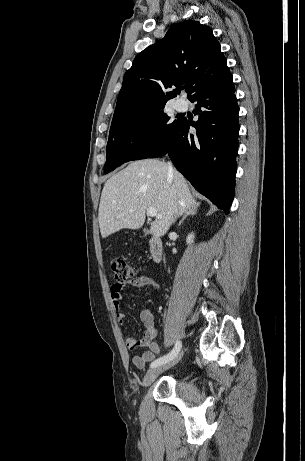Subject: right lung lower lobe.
Listing matches in <instances>:
<instances>
[{
  "label": "right lung lower lobe",
  "instance_id": "right-lung-lower-lobe-1",
  "mask_svg": "<svg viewBox=\"0 0 305 461\" xmlns=\"http://www.w3.org/2000/svg\"><path fill=\"white\" fill-rule=\"evenodd\" d=\"M229 72L191 99L197 102L198 121L180 119L165 144L147 158L168 154L175 167L196 190L226 214L234 198L238 150V105Z\"/></svg>",
  "mask_w": 305,
  "mask_h": 461
}]
</instances>
